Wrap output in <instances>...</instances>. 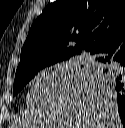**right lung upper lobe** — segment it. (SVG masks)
<instances>
[{
  "mask_svg": "<svg viewBox=\"0 0 125 128\" xmlns=\"http://www.w3.org/2000/svg\"><path fill=\"white\" fill-rule=\"evenodd\" d=\"M124 28V0H58L48 4L29 30L17 71L52 58L70 59L82 50L92 54Z\"/></svg>",
  "mask_w": 125,
  "mask_h": 128,
  "instance_id": "obj_1",
  "label": "right lung upper lobe"
}]
</instances>
